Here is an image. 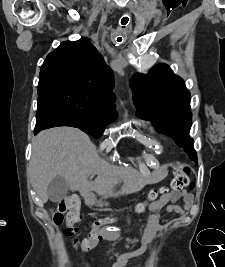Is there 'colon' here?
<instances>
[{
	"label": "colon",
	"instance_id": "colon-1",
	"mask_svg": "<svg viewBox=\"0 0 225 267\" xmlns=\"http://www.w3.org/2000/svg\"><path fill=\"white\" fill-rule=\"evenodd\" d=\"M190 169L184 165H177L174 168V178L170 184V189L174 192H183L193 186L189 178ZM169 191L168 187H160L151 189L148 194V199L145 202L139 203L136 206V212L141 213L146 209L148 202L154 201L160 194H165ZM81 201L77 196H71L67 199L61 200L57 206L51 210L52 219L55 224L60 225L66 220V227L63 230V235L72 239L75 247L83 250H91L93 245V238L102 234V227L106 224L115 223L116 219L112 216L97 219L92 225V232L87 237L79 239L77 236V223L81 221L80 213ZM105 236V234H104Z\"/></svg>",
	"mask_w": 225,
	"mask_h": 267
}]
</instances>
